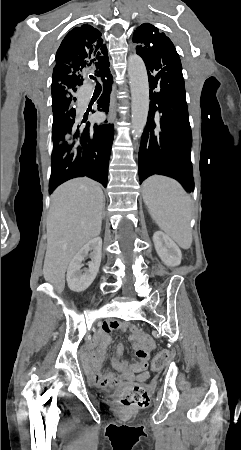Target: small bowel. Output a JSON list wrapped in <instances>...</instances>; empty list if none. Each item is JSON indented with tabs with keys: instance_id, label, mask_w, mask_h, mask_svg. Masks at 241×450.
<instances>
[{
	"instance_id": "small-bowel-1",
	"label": "small bowel",
	"mask_w": 241,
	"mask_h": 450,
	"mask_svg": "<svg viewBox=\"0 0 241 450\" xmlns=\"http://www.w3.org/2000/svg\"><path fill=\"white\" fill-rule=\"evenodd\" d=\"M113 331H129V340L134 350L132 361L122 359L124 347L118 344L116 354L111 360L112 371L100 372V365L111 341ZM97 346L93 356H87L85 363L93 382L98 387L122 386L125 384L144 383L149 378L150 353L156 348L153 337L138 325L126 321L112 320L105 322L89 348Z\"/></svg>"
}]
</instances>
